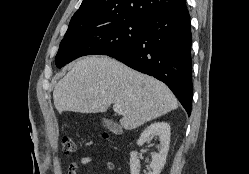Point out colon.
<instances>
[{
    "instance_id": "1",
    "label": "colon",
    "mask_w": 249,
    "mask_h": 174,
    "mask_svg": "<svg viewBox=\"0 0 249 174\" xmlns=\"http://www.w3.org/2000/svg\"><path fill=\"white\" fill-rule=\"evenodd\" d=\"M105 137H107V135H105ZM61 142L63 150L66 154H74L76 152L75 143L70 136L67 135L63 136Z\"/></svg>"
}]
</instances>
